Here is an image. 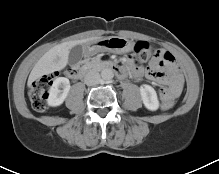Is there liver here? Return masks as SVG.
Here are the masks:
<instances>
[{
	"label": "liver",
	"instance_id": "obj_1",
	"mask_svg": "<svg viewBox=\"0 0 219 174\" xmlns=\"http://www.w3.org/2000/svg\"><path fill=\"white\" fill-rule=\"evenodd\" d=\"M98 39H100V37L69 41L51 48L38 60V62L33 67L28 78V86H31L35 80L42 77L43 75H48L65 68L68 63L69 51L71 48L76 45L88 43Z\"/></svg>",
	"mask_w": 219,
	"mask_h": 174
}]
</instances>
